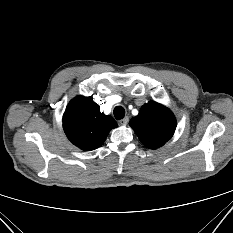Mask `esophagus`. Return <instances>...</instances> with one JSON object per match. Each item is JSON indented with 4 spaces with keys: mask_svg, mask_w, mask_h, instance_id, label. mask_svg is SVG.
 <instances>
[{
    "mask_svg": "<svg viewBox=\"0 0 233 233\" xmlns=\"http://www.w3.org/2000/svg\"><path fill=\"white\" fill-rule=\"evenodd\" d=\"M119 122H120V124L125 125L129 122V117L126 116L123 119H121Z\"/></svg>",
    "mask_w": 233,
    "mask_h": 233,
    "instance_id": "1",
    "label": "esophagus"
}]
</instances>
